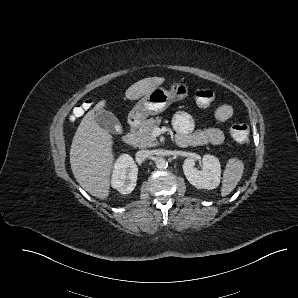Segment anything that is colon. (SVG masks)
Returning a JSON list of instances; mask_svg holds the SVG:
<instances>
[{
  "label": "colon",
  "instance_id": "obj_1",
  "mask_svg": "<svg viewBox=\"0 0 298 298\" xmlns=\"http://www.w3.org/2000/svg\"><path fill=\"white\" fill-rule=\"evenodd\" d=\"M196 103L201 107H207L214 101V92L206 87H196L193 91ZM91 107V102L87 101L83 105L78 106L73 112V117H79L88 111ZM232 138L238 143H247L250 138V130L245 123H235L230 129Z\"/></svg>",
  "mask_w": 298,
  "mask_h": 298
}]
</instances>
